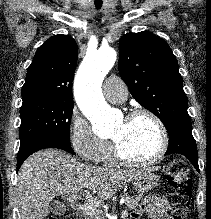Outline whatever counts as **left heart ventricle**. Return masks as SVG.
<instances>
[{
	"label": "left heart ventricle",
	"mask_w": 211,
	"mask_h": 219,
	"mask_svg": "<svg viewBox=\"0 0 211 219\" xmlns=\"http://www.w3.org/2000/svg\"><path fill=\"white\" fill-rule=\"evenodd\" d=\"M111 139L116 141L125 156L146 160L158 151L160 133L150 118L141 116L131 121H121L114 128Z\"/></svg>",
	"instance_id": "1"
}]
</instances>
